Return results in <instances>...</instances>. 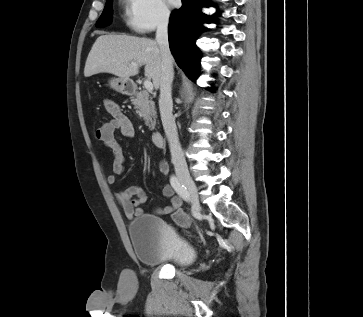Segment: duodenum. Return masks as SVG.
Instances as JSON below:
<instances>
[{
  "mask_svg": "<svg viewBox=\"0 0 363 317\" xmlns=\"http://www.w3.org/2000/svg\"><path fill=\"white\" fill-rule=\"evenodd\" d=\"M126 90H127V92H129V93H133L135 90H136V88H135V86H132V85H130V86H128L127 88H126ZM152 142H153V144L156 146V147H158V148H161V147H163L164 146V139H163V135H162V133L160 132V131H154L153 133H152Z\"/></svg>",
  "mask_w": 363,
  "mask_h": 317,
  "instance_id": "obj_1",
  "label": "duodenum"
}]
</instances>
